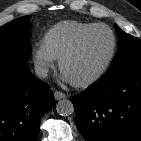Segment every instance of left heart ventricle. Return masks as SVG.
Segmentation results:
<instances>
[{"label": "left heart ventricle", "mask_w": 141, "mask_h": 141, "mask_svg": "<svg viewBox=\"0 0 141 141\" xmlns=\"http://www.w3.org/2000/svg\"><path fill=\"white\" fill-rule=\"evenodd\" d=\"M112 47V38L106 29L92 31L77 52L65 63L63 73L71 81L94 74L106 61Z\"/></svg>", "instance_id": "obj_1"}]
</instances>
